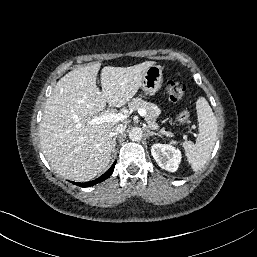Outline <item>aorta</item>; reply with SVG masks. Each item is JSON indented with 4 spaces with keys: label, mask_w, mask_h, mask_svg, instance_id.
Segmentation results:
<instances>
[{
    "label": "aorta",
    "mask_w": 257,
    "mask_h": 257,
    "mask_svg": "<svg viewBox=\"0 0 257 257\" xmlns=\"http://www.w3.org/2000/svg\"><path fill=\"white\" fill-rule=\"evenodd\" d=\"M143 137V131L140 127H133L129 132V138L132 141H140Z\"/></svg>",
    "instance_id": "762f6f07"
}]
</instances>
